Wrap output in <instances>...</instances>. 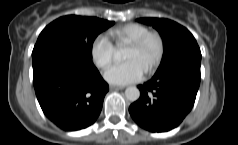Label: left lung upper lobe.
<instances>
[{"instance_id":"obj_1","label":"left lung upper lobe","mask_w":238,"mask_h":145,"mask_svg":"<svg viewBox=\"0 0 238 145\" xmlns=\"http://www.w3.org/2000/svg\"><path fill=\"white\" fill-rule=\"evenodd\" d=\"M137 21L153 26L163 38L164 53L157 72L185 62L201 61L200 48L185 27L164 18H140Z\"/></svg>"}]
</instances>
